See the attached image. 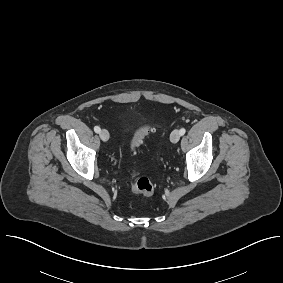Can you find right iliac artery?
Instances as JSON below:
<instances>
[{
    "instance_id": "obj_1",
    "label": "right iliac artery",
    "mask_w": 283,
    "mask_h": 283,
    "mask_svg": "<svg viewBox=\"0 0 283 283\" xmlns=\"http://www.w3.org/2000/svg\"><path fill=\"white\" fill-rule=\"evenodd\" d=\"M94 131H95L96 133H99V132L101 131V129H100V127H98V126H95V127H94Z\"/></svg>"
}]
</instances>
